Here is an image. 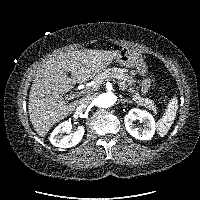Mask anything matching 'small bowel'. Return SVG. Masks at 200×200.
Masks as SVG:
<instances>
[{
	"label": "small bowel",
	"instance_id": "c3829d8e",
	"mask_svg": "<svg viewBox=\"0 0 200 200\" xmlns=\"http://www.w3.org/2000/svg\"><path fill=\"white\" fill-rule=\"evenodd\" d=\"M141 85H142V91L143 92H147V90L150 87V81L149 80H144Z\"/></svg>",
	"mask_w": 200,
	"mask_h": 200
}]
</instances>
